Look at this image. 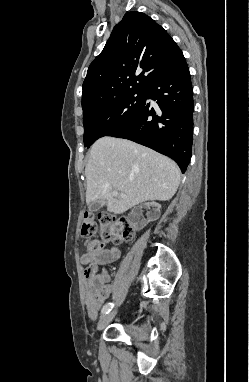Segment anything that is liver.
<instances>
[{"instance_id":"liver-1","label":"liver","mask_w":249,"mask_h":382,"mask_svg":"<svg viewBox=\"0 0 249 382\" xmlns=\"http://www.w3.org/2000/svg\"><path fill=\"white\" fill-rule=\"evenodd\" d=\"M86 202L104 200L107 211L122 214L148 200L168 201L180 183L171 159L127 139L105 136L91 147L85 168ZM117 190L124 197L112 195Z\"/></svg>"}]
</instances>
